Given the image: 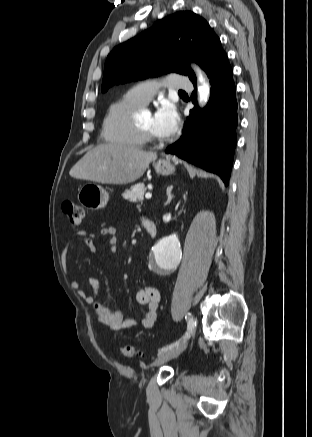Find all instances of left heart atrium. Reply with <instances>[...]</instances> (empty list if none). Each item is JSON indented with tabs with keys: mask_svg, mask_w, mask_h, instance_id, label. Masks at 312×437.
<instances>
[{
	"mask_svg": "<svg viewBox=\"0 0 312 437\" xmlns=\"http://www.w3.org/2000/svg\"><path fill=\"white\" fill-rule=\"evenodd\" d=\"M154 129L162 137L175 133L179 124V115L171 103H164L153 115Z\"/></svg>",
	"mask_w": 312,
	"mask_h": 437,
	"instance_id": "39dd6f15",
	"label": "left heart atrium"
}]
</instances>
